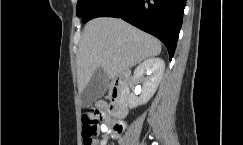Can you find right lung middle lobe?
I'll return each mask as SVG.
<instances>
[{
  "instance_id": "1",
  "label": "right lung middle lobe",
  "mask_w": 243,
  "mask_h": 145,
  "mask_svg": "<svg viewBox=\"0 0 243 145\" xmlns=\"http://www.w3.org/2000/svg\"><path fill=\"white\" fill-rule=\"evenodd\" d=\"M95 0H78L77 2V16L82 17L83 14L86 12V10L89 8V6L94 2Z\"/></svg>"
}]
</instances>
